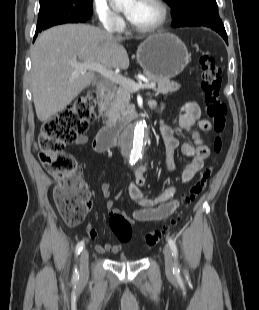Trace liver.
Wrapping results in <instances>:
<instances>
[{"mask_svg":"<svg viewBox=\"0 0 259 310\" xmlns=\"http://www.w3.org/2000/svg\"><path fill=\"white\" fill-rule=\"evenodd\" d=\"M121 36L85 24L52 27L39 35L31 49V86L36 115L46 122L67 107L95 80L91 70L71 62L93 61L107 69L129 67Z\"/></svg>","mask_w":259,"mask_h":310,"instance_id":"1","label":"liver"}]
</instances>
